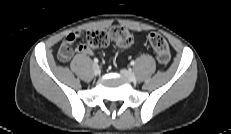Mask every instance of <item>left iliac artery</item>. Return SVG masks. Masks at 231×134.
Wrapping results in <instances>:
<instances>
[{"instance_id":"left-iliac-artery-1","label":"left iliac artery","mask_w":231,"mask_h":134,"mask_svg":"<svg viewBox=\"0 0 231 134\" xmlns=\"http://www.w3.org/2000/svg\"><path fill=\"white\" fill-rule=\"evenodd\" d=\"M132 66H134L135 65V61H131V63H130Z\"/></svg>"}]
</instances>
